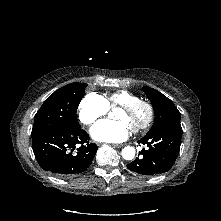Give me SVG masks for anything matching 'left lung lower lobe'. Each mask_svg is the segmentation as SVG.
<instances>
[{
	"instance_id": "obj_1",
	"label": "left lung lower lobe",
	"mask_w": 221,
	"mask_h": 221,
	"mask_svg": "<svg viewBox=\"0 0 221 221\" xmlns=\"http://www.w3.org/2000/svg\"><path fill=\"white\" fill-rule=\"evenodd\" d=\"M182 128L165 126L148 132L139 144L147 145V148L139 153L136 158L127 165L130 171L141 175H156L167 172L174 164L181 144Z\"/></svg>"
}]
</instances>
